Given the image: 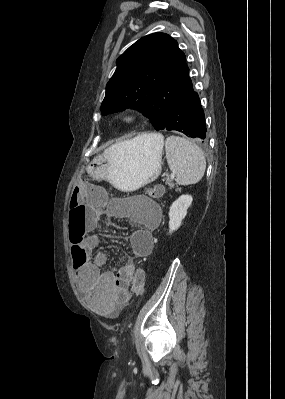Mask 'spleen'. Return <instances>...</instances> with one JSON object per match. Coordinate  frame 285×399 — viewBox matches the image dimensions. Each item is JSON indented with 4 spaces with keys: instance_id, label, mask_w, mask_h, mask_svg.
<instances>
[{
    "instance_id": "spleen-1",
    "label": "spleen",
    "mask_w": 285,
    "mask_h": 399,
    "mask_svg": "<svg viewBox=\"0 0 285 399\" xmlns=\"http://www.w3.org/2000/svg\"><path fill=\"white\" fill-rule=\"evenodd\" d=\"M166 159L179 185L198 183L204 176L206 160L202 149L184 137L171 135L165 143Z\"/></svg>"
}]
</instances>
